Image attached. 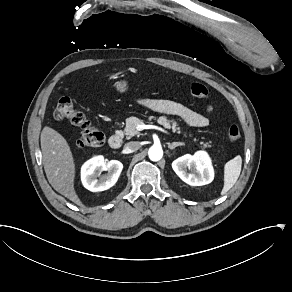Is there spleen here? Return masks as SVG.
Wrapping results in <instances>:
<instances>
[{
  "label": "spleen",
  "instance_id": "3e777b00",
  "mask_svg": "<svg viewBox=\"0 0 292 292\" xmlns=\"http://www.w3.org/2000/svg\"><path fill=\"white\" fill-rule=\"evenodd\" d=\"M242 168V157L237 154L224 164V184L221 195H225L237 182Z\"/></svg>",
  "mask_w": 292,
  "mask_h": 292
}]
</instances>
